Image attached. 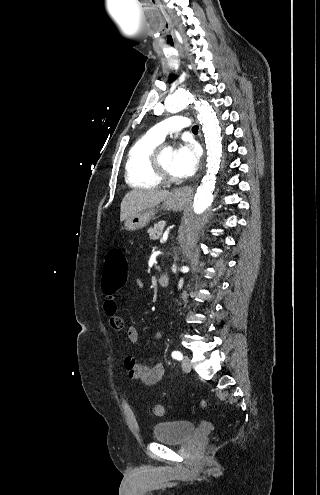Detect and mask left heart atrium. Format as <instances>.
I'll return each instance as SVG.
<instances>
[{"label":"left heart atrium","instance_id":"39dd6f15","mask_svg":"<svg viewBox=\"0 0 320 495\" xmlns=\"http://www.w3.org/2000/svg\"><path fill=\"white\" fill-rule=\"evenodd\" d=\"M199 153L197 147L192 143L181 144L173 156V173L175 176L187 178L191 176L197 168Z\"/></svg>","mask_w":320,"mask_h":495}]
</instances>
